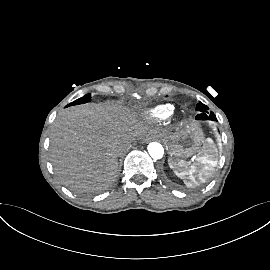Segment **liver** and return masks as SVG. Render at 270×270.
I'll return each mask as SVG.
<instances>
[{"label": "liver", "mask_w": 270, "mask_h": 270, "mask_svg": "<svg viewBox=\"0 0 270 270\" xmlns=\"http://www.w3.org/2000/svg\"><path fill=\"white\" fill-rule=\"evenodd\" d=\"M140 133L136 115L120 105L73 106L53 122L51 162L71 188L102 190L116 177L119 150Z\"/></svg>", "instance_id": "liver-1"}]
</instances>
